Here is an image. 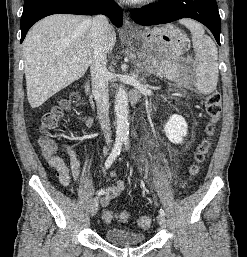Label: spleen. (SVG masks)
Instances as JSON below:
<instances>
[{"label":"spleen","instance_id":"3e777b00","mask_svg":"<svg viewBox=\"0 0 247 257\" xmlns=\"http://www.w3.org/2000/svg\"><path fill=\"white\" fill-rule=\"evenodd\" d=\"M191 32L195 52V86L202 94L212 93L218 82V52L212 39L205 35L203 27L191 20L179 21Z\"/></svg>","mask_w":247,"mask_h":257}]
</instances>
